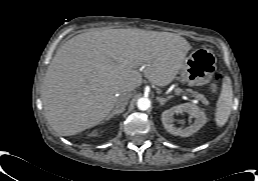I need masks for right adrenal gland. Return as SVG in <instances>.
<instances>
[{"instance_id": "right-adrenal-gland-1", "label": "right adrenal gland", "mask_w": 258, "mask_h": 181, "mask_svg": "<svg viewBox=\"0 0 258 181\" xmlns=\"http://www.w3.org/2000/svg\"><path fill=\"white\" fill-rule=\"evenodd\" d=\"M123 111H124V109L118 110V109L115 108V109L108 115V117L105 119V121L110 120L113 116L119 115V114L122 113Z\"/></svg>"}]
</instances>
